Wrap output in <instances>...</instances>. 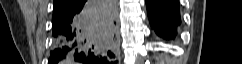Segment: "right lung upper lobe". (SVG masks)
Listing matches in <instances>:
<instances>
[{
	"label": "right lung upper lobe",
	"mask_w": 242,
	"mask_h": 64,
	"mask_svg": "<svg viewBox=\"0 0 242 64\" xmlns=\"http://www.w3.org/2000/svg\"><path fill=\"white\" fill-rule=\"evenodd\" d=\"M73 1L74 0H54V3H53L54 12L65 10L66 8L72 5Z\"/></svg>",
	"instance_id": "1"
}]
</instances>
